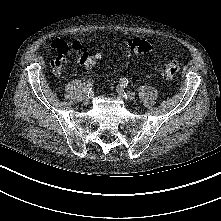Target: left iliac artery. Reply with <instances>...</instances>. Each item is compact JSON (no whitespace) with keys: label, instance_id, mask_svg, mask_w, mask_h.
Listing matches in <instances>:
<instances>
[{"label":"left iliac artery","instance_id":"1","mask_svg":"<svg viewBox=\"0 0 221 221\" xmlns=\"http://www.w3.org/2000/svg\"><path fill=\"white\" fill-rule=\"evenodd\" d=\"M120 83L123 87H125L128 85L129 81L126 78H122V79H120Z\"/></svg>","mask_w":221,"mask_h":221}]
</instances>
